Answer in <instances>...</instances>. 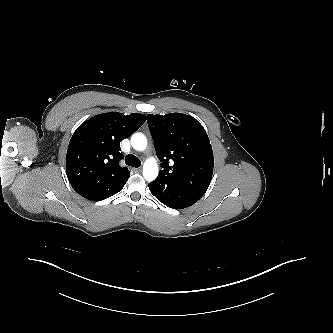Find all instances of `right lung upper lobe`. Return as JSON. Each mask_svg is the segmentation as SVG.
<instances>
[{"label":"right lung upper lobe","instance_id":"cb5924a9","mask_svg":"<svg viewBox=\"0 0 333 333\" xmlns=\"http://www.w3.org/2000/svg\"><path fill=\"white\" fill-rule=\"evenodd\" d=\"M144 114L118 112L96 115L74 132L67 149L66 172L73 189L92 201L111 197L130 177L120 167V142L146 121Z\"/></svg>","mask_w":333,"mask_h":333}]
</instances>
